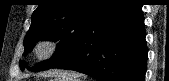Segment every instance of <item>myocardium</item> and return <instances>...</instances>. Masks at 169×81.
I'll return each mask as SVG.
<instances>
[{"label": "myocardium", "instance_id": "myocardium-1", "mask_svg": "<svg viewBox=\"0 0 169 81\" xmlns=\"http://www.w3.org/2000/svg\"><path fill=\"white\" fill-rule=\"evenodd\" d=\"M60 43L53 37H45L38 40L33 48L34 57L45 62L51 60L58 53Z\"/></svg>", "mask_w": 169, "mask_h": 81}]
</instances>
